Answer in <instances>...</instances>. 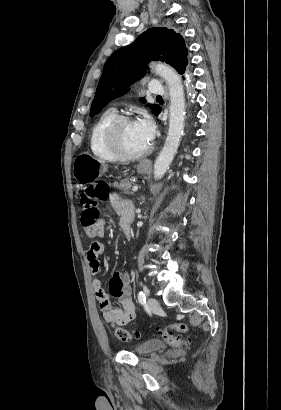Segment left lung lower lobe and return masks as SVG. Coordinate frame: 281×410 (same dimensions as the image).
<instances>
[{
	"label": "left lung lower lobe",
	"mask_w": 281,
	"mask_h": 410,
	"mask_svg": "<svg viewBox=\"0 0 281 410\" xmlns=\"http://www.w3.org/2000/svg\"><path fill=\"white\" fill-rule=\"evenodd\" d=\"M183 79H184V80H189V79H190V73H187L186 76L183 77ZM159 112H160V110H159ZM159 112H158V114H159ZM158 114H157V115H158Z\"/></svg>",
	"instance_id": "0a47b994"
}]
</instances>
